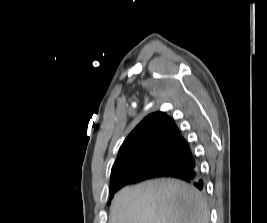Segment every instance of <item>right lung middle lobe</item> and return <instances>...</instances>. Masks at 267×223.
<instances>
[{
	"label": "right lung middle lobe",
	"instance_id": "1",
	"mask_svg": "<svg viewBox=\"0 0 267 223\" xmlns=\"http://www.w3.org/2000/svg\"><path fill=\"white\" fill-rule=\"evenodd\" d=\"M186 151L179 147H165L160 152L146 160L132 161L124 167L126 172L135 170H151L158 173H163L171 169L184 155ZM113 194H111V197Z\"/></svg>",
	"mask_w": 267,
	"mask_h": 223
}]
</instances>
